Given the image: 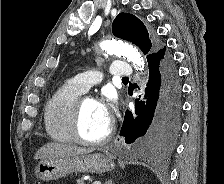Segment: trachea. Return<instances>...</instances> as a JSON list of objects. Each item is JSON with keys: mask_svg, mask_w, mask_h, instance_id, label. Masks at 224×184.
Returning <instances> with one entry per match:
<instances>
[{"mask_svg": "<svg viewBox=\"0 0 224 184\" xmlns=\"http://www.w3.org/2000/svg\"><path fill=\"white\" fill-rule=\"evenodd\" d=\"M122 81H129V78H122Z\"/></svg>", "mask_w": 224, "mask_h": 184, "instance_id": "1", "label": "trachea"}]
</instances>
